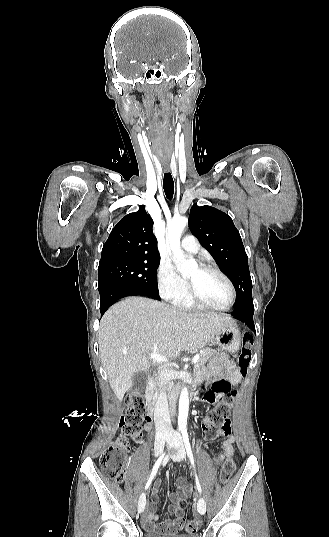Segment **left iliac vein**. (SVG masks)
Listing matches in <instances>:
<instances>
[{
  "mask_svg": "<svg viewBox=\"0 0 329 537\" xmlns=\"http://www.w3.org/2000/svg\"><path fill=\"white\" fill-rule=\"evenodd\" d=\"M168 438H170L175 444V448L177 450L176 460H183L185 457V447L180 434L175 433L174 435L168 436ZM197 510L201 515H204L206 512V502L202 497H200L198 500Z\"/></svg>",
  "mask_w": 329,
  "mask_h": 537,
  "instance_id": "left-iliac-vein-1",
  "label": "left iliac vein"
}]
</instances>
